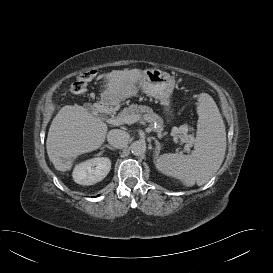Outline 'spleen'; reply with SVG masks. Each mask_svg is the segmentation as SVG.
I'll list each match as a JSON object with an SVG mask.
<instances>
[{"label": "spleen", "mask_w": 273, "mask_h": 273, "mask_svg": "<svg viewBox=\"0 0 273 273\" xmlns=\"http://www.w3.org/2000/svg\"><path fill=\"white\" fill-rule=\"evenodd\" d=\"M198 122L191 155L167 153L156 161V168L185 186L206 184L220 168L226 151V131L213 98L207 93L198 97Z\"/></svg>", "instance_id": "obj_1"}]
</instances>
